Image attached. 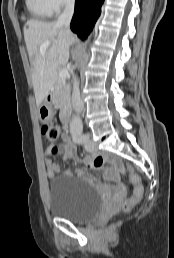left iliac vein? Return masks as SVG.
Wrapping results in <instances>:
<instances>
[{
    "label": "left iliac vein",
    "mask_w": 174,
    "mask_h": 258,
    "mask_svg": "<svg viewBox=\"0 0 174 258\" xmlns=\"http://www.w3.org/2000/svg\"><path fill=\"white\" fill-rule=\"evenodd\" d=\"M86 140H85V149L87 151H93L95 146H94V143L93 141L90 139V136L89 135H86Z\"/></svg>",
    "instance_id": "left-iliac-vein-1"
}]
</instances>
